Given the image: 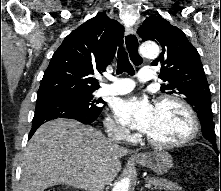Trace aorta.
Instances as JSON below:
<instances>
[{"label":"aorta","instance_id":"1","mask_svg":"<svg viewBox=\"0 0 221 191\" xmlns=\"http://www.w3.org/2000/svg\"><path fill=\"white\" fill-rule=\"evenodd\" d=\"M140 53L146 58H155L159 55L160 49L155 42H145L140 47ZM130 185L129 178H123L116 183L112 191H128Z\"/></svg>","mask_w":221,"mask_h":191}]
</instances>
